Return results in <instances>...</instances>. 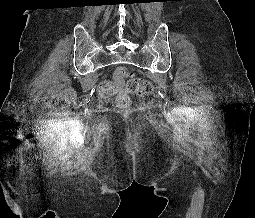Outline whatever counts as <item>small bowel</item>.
Wrapping results in <instances>:
<instances>
[{
  "label": "small bowel",
  "mask_w": 255,
  "mask_h": 218,
  "mask_svg": "<svg viewBox=\"0 0 255 218\" xmlns=\"http://www.w3.org/2000/svg\"><path fill=\"white\" fill-rule=\"evenodd\" d=\"M119 87H122V83H119Z\"/></svg>",
  "instance_id": "1"
}]
</instances>
